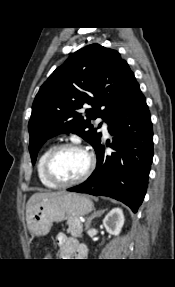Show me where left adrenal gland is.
<instances>
[{"label":"left adrenal gland","instance_id":"obj_1","mask_svg":"<svg viewBox=\"0 0 175 287\" xmlns=\"http://www.w3.org/2000/svg\"><path fill=\"white\" fill-rule=\"evenodd\" d=\"M107 209H100L98 211H95L90 217L89 219L87 220L86 222V228H89L90 227V224L92 222V220L95 218V217H98V216H101V214H103Z\"/></svg>","mask_w":175,"mask_h":287}]
</instances>
